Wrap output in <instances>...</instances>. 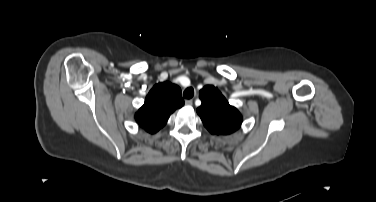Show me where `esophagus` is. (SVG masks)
<instances>
[{
	"instance_id": "1",
	"label": "esophagus",
	"mask_w": 376,
	"mask_h": 202,
	"mask_svg": "<svg viewBox=\"0 0 376 202\" xmlns=\"http://www.w3.org/2000/svg\"><path fill=\"white\" fill-rule=\"evenodd\" d=\"M185 105L192 106L193 105V101L192 100H185Z\"/></svg>"
}]
</instances>
